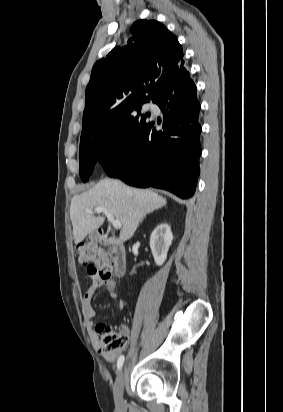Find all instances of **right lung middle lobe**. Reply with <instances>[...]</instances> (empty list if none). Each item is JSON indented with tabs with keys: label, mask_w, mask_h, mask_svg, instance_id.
<instances>
[{
	"label": "right lung middle lobe",
	"mask_w": 283,
	"mask_h": 412,
	"mask_svg": "<svg viewBox=\"0 0 283 412\" xmlns=\"http://www.w3.org/2000/svg\"><path fill=\"white\" fill-rule=\"evenodd\" d=\"M141 106L134 108L116 127L80 140V175L83 182L89 179L94 165L103 166L124 157L135 139L146 128L149 114H141Z\"/></svg>",
	"instance_id": "1"
}]
</instances>
